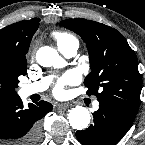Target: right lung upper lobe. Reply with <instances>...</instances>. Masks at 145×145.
I'll list each match as a JSON object with an SVG mask.
<instances>
[{
	"label": "right lung upper lobe",
	"instance_id": "obj_1",
	"mask_svg": "<svg viewBox=\"0 0 145 145\" xmlns=\"http://www.w3.org/2000/svg\"><path fill=\"white\" fill-rule=\"evenodd\" d=\"M39 19L24 20L0 30V59L12 58L27 65L26 53L32 36L39 27Z\"/></svg>",
	"mask_w": 145,
	"mask_h": 145
}]
</instances>
